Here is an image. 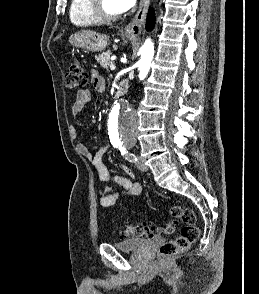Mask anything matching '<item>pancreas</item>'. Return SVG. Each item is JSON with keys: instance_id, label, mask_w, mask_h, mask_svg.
I'll return each instance as SVG.
<instances>
[{"instance_id": "obj_1", "label": "pancreas", "mask_w": 259, "mask_h": 294, "mask_svg": "<svg viewBox=\"0 0 259 294\" xmlns=\"http://www.w3.org/2000/svg\"><path fill=\"white\" fill-rule=\"evenodd\" d=\"M112 55L111 51H106L98 55L96 60L103 68H108L110 62V56Z\"/></svg>"}]
</instances>
